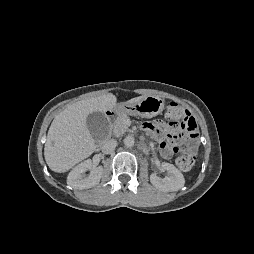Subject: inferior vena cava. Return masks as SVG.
<instances>
[{
    "label": "inferior vena cava",
    "instance_id": "602c4592",
    "mask_svg": "<svg viewBox=\"0 0 254 254\" xmlns=\"http://www.w3.org/2000/svg\"><path fill=\"white\" fill-rule=\"evenodd\" d=\"M117 146V141L114 139L106 141L102 145V152L105 154H109L115 150V147Z\"/></svg>",
    "mask_w": 254,
    "mask_h": 254
}]
</instances>
